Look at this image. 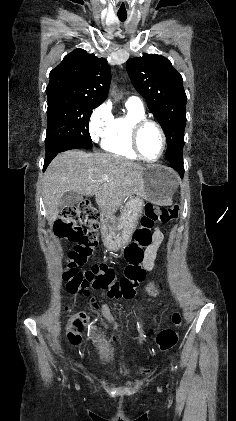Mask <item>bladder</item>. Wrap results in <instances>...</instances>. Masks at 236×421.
<instances>
[{
	"instance_id": "31cf9c89",
	"label": "bladder",
	"mask_w": 236,
	"mask_h": 421,
	"mask_svg": "<svg viewBox=\"0 0 236 421\" xmlns=\"http://www.w3.org/2000/svg\"><path fill=\"white\" fill-rule=\"evenodd\" d=\"M133 373H134L133 371H120L117 376L118 378H127V377H131Z\"/></svg>"
}]
</instances>
